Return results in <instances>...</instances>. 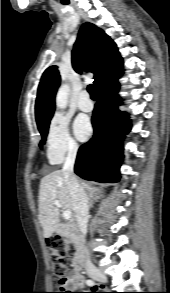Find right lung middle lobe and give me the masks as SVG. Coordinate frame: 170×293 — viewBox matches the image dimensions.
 <instances>
[{"label":"right lung middle lobe","instance_id":"obj_1","mask_svg":"<svg viewBox=\"0 0 170 293\" xmlns=\"http://www.w3.org/2000/svg\"><path fill=\"white\" fill-rule=\"evenodd\" d=\"M48 126L49 125H47V126L41 128V129H39V131H40V133L42 135V140H41V142L39 144L40 147L45 143L46 136H47V133H48Z\"/></svg>","mask_w":170,"mask_h":293}]
</instances>
